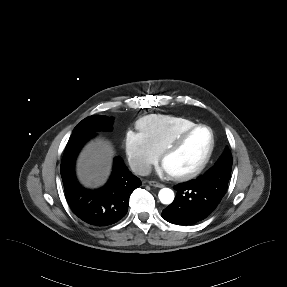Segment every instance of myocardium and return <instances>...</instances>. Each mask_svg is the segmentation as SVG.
I'll return each instance as SVG.
<instances>
[{
    "label": "myocardium",
    "mask_w": 287,
    "mask_h": 287,
    "mask_svg": "<svg viewBox=\"0 0 287 287\" xmlns=\"http://www.w3.org/2000/svg\"><path fill=\"white\" fill-rule=\"evenodd\" d=\"M200 128H205L209 131L210 133V137H211V142H210V146L209 149L206 153V155L204 156V158L202 159V161L199 163V165L186 173H182V174H169L170 178L176 181H187L190 179L195 178L196 176H198L200 173L203 172V170L206 168V166L209 164L213 153H214V149H215V134L213 129L205 124H196L184 131H182L181 133H179L161 152V157H160V161L163 163V161L165 160V158L167 156H169L170 154H172L173 152H175L183 143L184 141L196 130L200 129Z\"/></svg>",
    "instance_id": "1"
}]
</instances>
